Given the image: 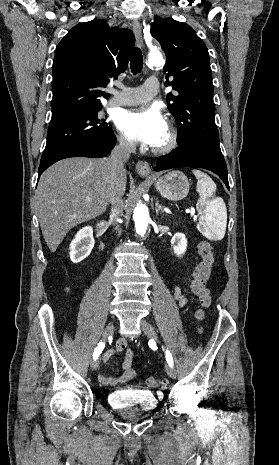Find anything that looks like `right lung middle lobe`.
Returning a JSON list of instances; mask_svg holds the SVG:
<instances>
[{"label":"right lung middle lobe","instance_id":"obj_1","mask_svg":"<svg viewBox=\"0 0 279 465\" xmlns=\"http://www.w3.org/2000/svg\"><path fill=\"white\" fill-rule=\"evenodd\" d=\"M101 108H94L51 124L48 128L47 143L41 161L74 143L83 140L100 141L114 135L111 126L97 115Z\"/></svg>","mask_w":279,"mask_h":465}]
</instances>
